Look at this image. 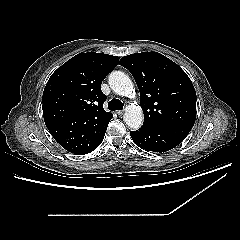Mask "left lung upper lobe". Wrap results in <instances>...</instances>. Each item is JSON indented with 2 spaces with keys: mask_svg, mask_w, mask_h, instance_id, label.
<instances>
[{
  "mask_svg": "<svg viewBox=\"0 0 240 240\" xmlns=\"http://www.w3.org/2000/svg\"><path fill=\"white\" fill-rule=\"evenodd\" d=\"M119 64L131 72L139 88L143 126L193 127L196 92L176 63L158 52H142L122 57Z\"/></svg>",
  "mask_w": 240,
  "mask_h": 240,
  "instance_id": "obj_1",
  "label": "left lung upper lobe"
}]
</instances>
